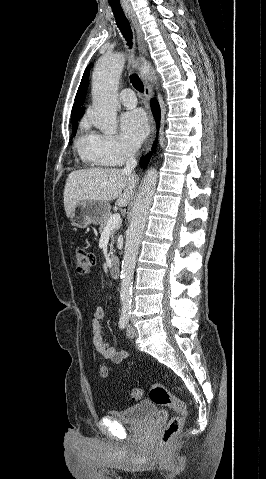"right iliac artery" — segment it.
<instances>
[{
    "instance_id": "right-iliac-artery-1",
    "label": "right iliac artery",
    "mask_w": 266,
    "mask_h": 479,
    "mask_svg": "<svg viewBox=\"0 0 266 479\" xmlns=\"http://www.w3.org/2000/svg\"><path fill=\"white\" fill-rule=\"evenodd\" d=\"M129 321L128 314H122L119 319V327L120 329H125Z\"/></svg>"
}]
</instances>
